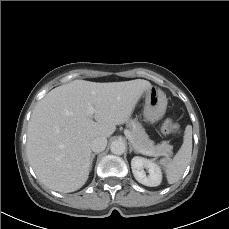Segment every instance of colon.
I'll use <instances>...</instances> for the list:
<instances>
[{
    "instance_id": "obj_1",
    "label": "colon",
    "mask_w": 229,
    "mask_h": 229,
    "mask_svg": "<svg viewBox=\"0 0 229 229\" xmlns=\"http://www.w3.org/2000/svg\"><path fill=\"white\" fill-rule=\"evenodd\" d=\"M160 131L164 135H173L179 132V126L171 119H166L160 126Z\"/></svg>"
}]
</instances>
